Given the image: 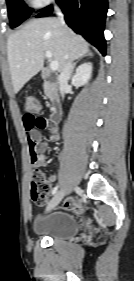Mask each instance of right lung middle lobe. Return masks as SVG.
I'll return each instance as SVG.
<instances>
[{
    "mask_svg": "<svg viewBox=\"0 0 134 281\" xmlns=\"http://www.w3.org/2000/svg\"><path fill=\"white\" fill-rule=\"evenodd\" d=\"M8 7V16L11 22V27H17L26 20L33 9L28 8L23 0H6Z\"/></svg>",
    "mask_w": 134,
    "mask_h": 281,
    "instance_id": "obj_1",
    "label": "right lung middle lobe"
}]
</instances>
